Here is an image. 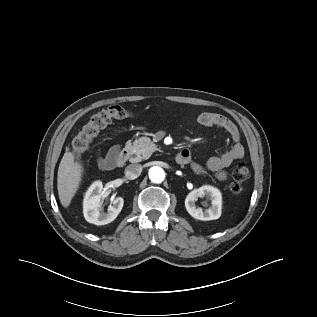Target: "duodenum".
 <instances>
[{"label":"duodenum","mask_w":317,"mask_h":317,"mask_svg":"<svg viewBox=\"0 0 317 317\" xmlns=\"http://www.w3.org/2000/svg\"><path fill=\"white\" fill-rule=\"evenodd\" d=\"M189 157V153L186 150L180 151L176 155V162L179 164H183ZM129 158V150L124 148L120 150V152L117 154V156H114L112 159L107 161V164L105 166V170H111L115 167H121L123 166Z\"/></svg>","instance_id":"410a0bca"}]
</instances>
